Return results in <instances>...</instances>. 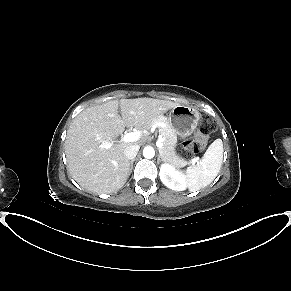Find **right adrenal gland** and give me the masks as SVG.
Segmentation results:
<instances>
[{"mask_svg": "<svg viewBox=\"0 0 291 291\" xmlns=\"http://www.w3.org/2000/svg\"><path fill=\"white\" fill-rule=\"evenodd\" d=\"M134 161H135V159H132V160L130 161V173H131V171H132V169H133V163H134Z\"/></svg>", "mask_w": 291, "mask_h": 291, "instance_id": "2a0ac1e0", "label": "right adrenal gland"}]
</instances>
